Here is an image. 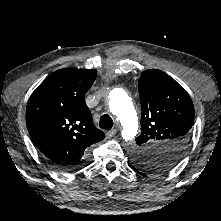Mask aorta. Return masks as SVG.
<instances>
[{
    "label": "aorta",
    "instance_id": "obj_1",
    "mask_svg": "<svg viewBox=\"0 0 221 221\" xmlns=\"http://www.w3.org/2000/svg\"><path fill=\"white\" fill-rule=\"evenodd\" d=\"M108 105L111 113L122 126L121 135L125 141H131L137 134L138 118L128 94L120 88L109 93Z\"/></svg>",
    "mask_w": 221,
    "mask_h": 221
}]
</instances>
